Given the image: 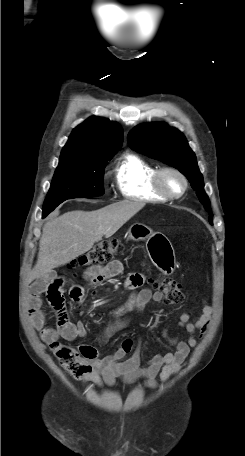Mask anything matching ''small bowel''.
Instances as JSON below:
<instances>
[{"label": "small bowel", "instance_id": "obj_1", "mask_svg": "<svg viewBox=\"0 0 245 456\" xmlns=\"http://www.w3.org/2000/svg\"><path fill=\"white\" fill-rule=\"evenodd\" d=\"M122 272L123 264L119 260H112L104 266H91L86 270L84 278L89 286H96L106 279L120 275ZM144 282L145 277L142 273H132L126 278L125 287L134 291L140 288ZM63 285V278L47 274L32 283L30 287L28 302L30 321L47 344L59 338L71 341L86 335L85 325L81 321L71 322L68 319L62 294ZM85 291V286L75 285L70 289L69 296L74 301H81ZM44 292L47 293L49 303L57 312L56 328L44 327L45 313L41 309L42 300L40 298ZM162 299V292H153L149 288H142L138 292L132 293L129 300L117 310V319L101 332L99 340L105 341L112 334L127 326V321L122 319L121 315L134 310H141L148 302H160ZM212 314L213 307L205 300L201 313L195 321L191 320L189 314H182L179 319V326L188 334L187 339L180 340L168 337L174 351L154 355L146 367L141 366L140 344L135 345L131 338L125 339L113 354L103 358L98 357V351L94 346L81 344L79 350L84 354V360L90 366V370L82 376L81 381L85 384L92 383L102 387L104 385L113 386L118 379L128 383L143 379L147 388L155 389L158 385L157 377L160 378V381L165 382L180 370L191 348L197 345L195 334L199 332L200 336H203L207 332ZM129 353H131L130 357L125 359Z\"/></svg>", "mask_w": 245, "mask_h": 456}]
</instances>
